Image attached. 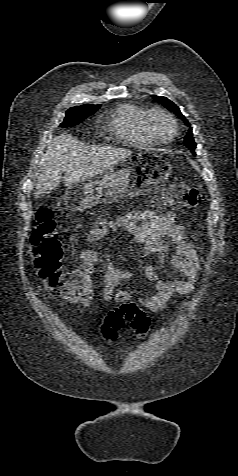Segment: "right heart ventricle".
<instances>
[{
    "instance_id": "1",
    "label": "right heart ventricle",
    "mask_w": 238,
    "mask_h": 476,
    "mask_svg": "<svg viewBox=\"0 0 238 476\" xmlns=\"http://www.w3.org/2000/svg\"><path fill=\"white\" fill-rule=\"evenodd\" d=\"M147 109L135 104L124 103L120 105L113 117V131L118 139L136 147H148L153 141L145 132L143 126Z\"/></svg>"
}]
</instances>
